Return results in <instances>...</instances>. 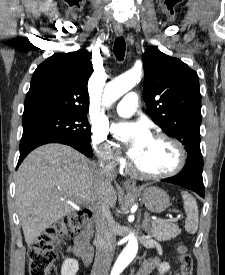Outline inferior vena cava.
<instances>
[{"mask_svg": "<svg viewBox=\"0 0 225 275\" xmlns=\"http://www.w3.org/2000/svg\"><path fill=\"white\" fill-rule=\"evenodd\" d=\"M115 155H111L113 158ZM115 160L101 162L100 174L105 184H110L114 174ZM96 223V256L91 275H108L115 251V234L113 231V217L109 207L103 200L93 203Z\"/></svg>", "mask_w": 225, "mask_h": 275, "instance_id": "1", "label": "inferior vena cava"}]
</instances>
